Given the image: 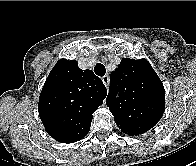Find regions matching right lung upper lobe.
Here are the masks:
<instances>
[{"label":"right lung upper lobe","instance_id":"right-lung-upper-lobe-1","mask_svg":"<svg viewBox=\"0 0 196 166\" xmlns=\"http://www.w3.org/2000/svg\"><path fill=\"white\" fill-rule=\"evenodd\" d=\"M106 95L102 80L91 70H81L76 60H59L39 97V116L46 132L61 143L83 139Z\"/></svg>","mask_w":196,"mask_h":166}]
</instances>
